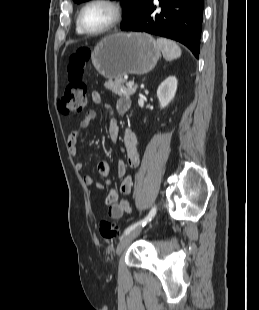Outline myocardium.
I'll return each mask as SVG.
<instances>
[{
  "label": "myocardium",
  "mask_w": 259,
  "mask_h": 310,
  "mask_svg": "<svg viewBox=\"0 0 259 310\" xmlns=\"http://www.w3.org/2000/svg\"><path fill=\"white\" fill-rule=\"evenodd\" d=\"M95 4H102V5H106L107 7H109L113 12V17L111 21L105 27L99 30H89L83 24L82 15L88 7L95 5ZM123 16H124L123 7L120 4V2L117 0H89L80 8L78 12L77 25L79 29L86 35L100 36L116 28L122 22Z\"/></svg>",
  "instance_id": "f54148a6"
}]
</instances>
